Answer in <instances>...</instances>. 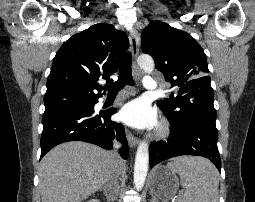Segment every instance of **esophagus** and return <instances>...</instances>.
Segmentation results:
<instances>
[{
    "label": "esophagus",
    "instance_id": "1",
    "mask_svg": "<svg viewBox=\"0 0 255 202\" xmlns=\"http://www.w3.org/2000/svg\"><path fill=\"white\" fill-rule=\"evenodd\" d=\"M129 41L131 53L133 58L135 59L139 53V35L138 31L135 28L132 29L130 32ZM126 137L128 139L130 147L132 149L135 148L138 144L137 137L134 134H132L129 130H126Z\"/></svg>",
    "mask_w": 255,
    "mask_h": 202
}]
</instances>
